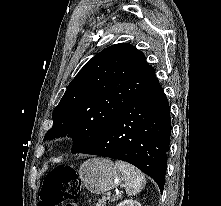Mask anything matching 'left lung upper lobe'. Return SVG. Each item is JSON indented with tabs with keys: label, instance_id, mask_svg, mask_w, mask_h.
<instances>
[{
	"label": "left lung upper lobe",
	"instance_id": "1",
	"mask_svg": "<svg viewBox=\"0 0 221 206\" xmlns=\"http://www.w3.org/2000/svg\"><path fill=\"white\" fill-rule=\"evenodd\" d=\"M156 81L143 52L126 43L94 56L69 84L45 139L69 134L72 153L94 142L145 89Z\"/></svg>",
	"mask_w": 221,
	"mask_h": 206
}]
</instances>
